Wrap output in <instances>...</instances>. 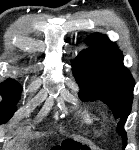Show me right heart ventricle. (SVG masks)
<instances>
[{"label": "right heart ventricle", "mask_w": 139, "mask_h": 150, "mask_svg": "<svg viewBox=\"0 0 139 150\" xmlns=\"http://www.w3.org/2000/svg\"><path fill=\"white\" fill-rule=\"evenodd\" d=\"M79 118L82 124L90 127L98 125L101 119L95 109L88 107L79 112Z\"/></svg>", "instance_id": "1"}]
</instances>
